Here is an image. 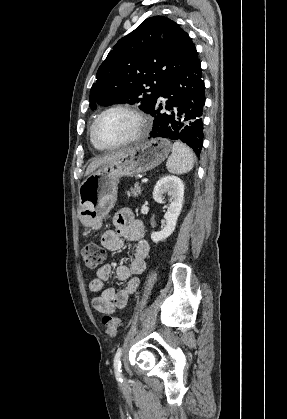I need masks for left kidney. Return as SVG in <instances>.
<instances>
[{
	"label": "left kidney",
	"mask_w": 287,
	"mask_h": 419,
	"mask_svg": "<svg viewBox=\"0 0 287 419\" xmlns=\"http://www.w3.org/2000/svg\"><path fill=\"white\" fill-rule=\"evenodd\" d=\"M164 194L169 196V206L164 215L166 225L160 232L151 233V239L155 243L168 238L175 230L184 198V184L182 180L172 175L160 178L154 187L153 199L156 202L163 204L165 203Z\"/></svg>",
	"instance_id": "1"
}]
</instances>
